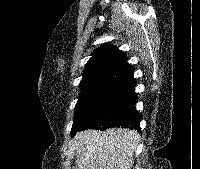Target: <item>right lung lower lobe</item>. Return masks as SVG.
Here are the masks:
<instances>
[{
	"label": "right lung lower lobe",
	"mask_w": 200,
	"mask_h": 169,
	"mask_svg": "<svg viewBox=\"0 0 200 169\" xmlns=\"http://www.w3.org/2000/svg\"><path fill=\"white\" fill-rule=\"evenodd\" d=\"M115 85L116 87L108 99L78 128L77 131L86 129L105 130L111 127L140 129L142 116L135 109V104L137 102V94L134 90L136 85L135 79L132 78Z\"/></svg>",
	"instance_id": "98d812e1"
}]
</instances>
